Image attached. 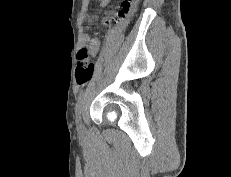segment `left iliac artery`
<instances>
[{
    "instance_id": "obj_1",
    "label": "left iliac artery",
    "mask_w": 231,
    "mask_h": 177,
    "mask_svg": "<svg viewBox=\"0 0 231 177\" xmlns=\"http://www.w3.org/2000/svg\"><path fill=\"white\" fill-rule=\"evenodd\" d=\"M84 98H85V92H81L80 95L78 96L76 106H75V113L77 116L81 114V109L84 103Z\"/></svg>"
}]
</instances>
